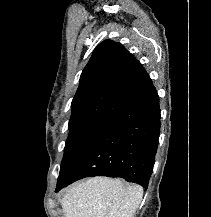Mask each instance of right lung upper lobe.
Instances as JSON below:
<instances>
[{"instance_id":"1","label":"right lung upper lobe","mask_w":211,"mask_h":217,"mask_svg":"<svg viewBox=\"0 0 211 217\" xmlns=\"http://www.w3.org/2000/svg\"><path fill=\"white\" fill-rule=\"evenodd\" d=\"M153 88L141 63L120 43L105 40L81 74L70 120L94 114L117 116Z\"/></svg>"}]
</instances>
